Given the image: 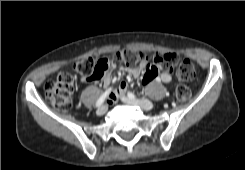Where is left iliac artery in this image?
Wrapping results in <instances>:
<instances>
[{
  "mask_svg": "<svg viewBox=\"0 0 245 170\" xmlns=\"http://www.w3.org/2000/svg\"><path fill=\"white\" fill-rule=\"evenodd\" d=\"M128 97L129 98H131V99H135L136 98V96H135V94L134 93H131V92H128ZM145 102H147L148 100H145V99H143Z\"/></svg>",
  "mask_w": 245,
  "mask_h": 170,
  "instance_id": "1",
  "label": "left iliac artery"
}]
</instances>
